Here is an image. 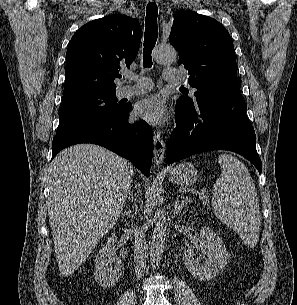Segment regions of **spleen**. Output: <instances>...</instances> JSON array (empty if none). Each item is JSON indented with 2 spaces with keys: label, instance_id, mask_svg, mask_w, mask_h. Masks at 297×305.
I'll list each match as a JSON object with an SVG mask.
<instances>
[{
  "label": "spleen",
  "instance_id": "spleen-1",
  "mask_svg": "<svg viewBox=\"0 0 297 305\" xmlns=\"http://www.w3.org/2000/svg\"><path fill=\"white\" fill-rule=\"evenodd\" d=\"M222 172L213 185L212 209L221 222L233 229L248 247L258 243L261 216L252 177L237 158L221 154Z\"/></svg>",
  "mask_w": 297,
  "mask_h": 305
}]
</instances>
